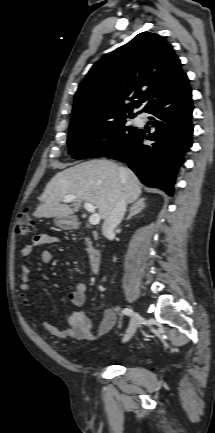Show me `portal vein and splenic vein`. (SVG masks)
<instances>
[{
    "mask_svg": "<svg viewBox=\"0 0 215 433\" xmlns=\"http://www.w3.org/2000/svg\"><path fill=\"white\" fill-rule=\"evenodd\" d=\"M75 200H76V196H74V195H67V196L64 197L63 202L64 203H71V202H74ZM84 208L88 212L92 213L91 216L89 217V223L91 225H97V224H99V222H100V215L95 212L96 207L93 204L89 203V202H85L84 203Z\"/></svg>",
    "mask_w": 215,
    "mask_h": 433,
    "instance_id": "obj_1",
    "label": "portal vein and splenic vein"
}]
</instances>
